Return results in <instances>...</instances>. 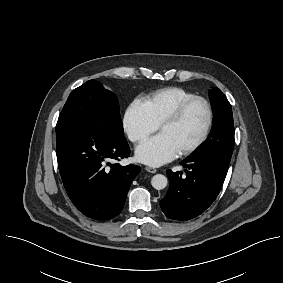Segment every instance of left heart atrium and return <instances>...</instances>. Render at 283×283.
Returning a JSON list of instances; mask_svg holds the SVG:
<instances>
[{"label":"left heart atrium","mask_w":283,"mask_h":283,"mask_svg":"<svg viewBox=\"0 0 283 283\" xmlns=\"http://www.w3.org/2000/svg\"><path fill=\"white\" fill-rule=\"evenodd\" d=\"M135 153L138 161L156 167L172 161L179 152L165 135L159 133L142 142Z\"/></svg>","instance_id":"39dd6f15"}]
</instances>
